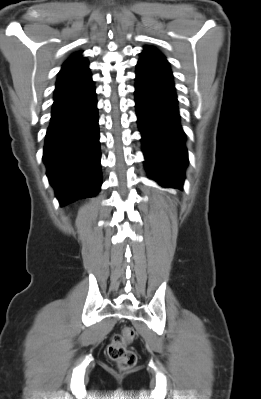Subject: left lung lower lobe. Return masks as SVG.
Wrapping results in <instances>:
<instances>
[{
  "mask_svg": "<svg viewBox=\"0 0 261 399\" xmlns=\"http://www.w3.org/2000/svg\"><path fill=\"white\" fill-rule=\"evenodd\" d=\"M135 88L145 167L160 185L182 188L188 155L172 72L138 62Z\"/></svg>",
  "mask_w": 261,
  "mask_h": 399,
  "instance_id": "obj_1",
  "label": "left lung lower lobe"
}]
</instances>
